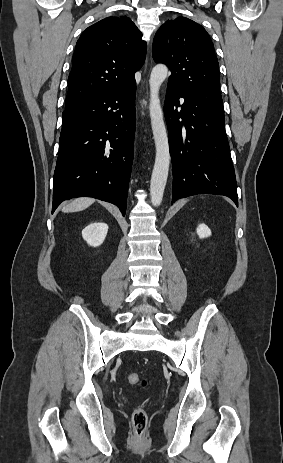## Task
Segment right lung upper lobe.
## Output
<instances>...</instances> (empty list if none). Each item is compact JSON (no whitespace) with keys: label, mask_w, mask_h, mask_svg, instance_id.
<instances>
[{"label":"right lung upper lobe","mask_w":283,"mask_h":463,"mask_svg":"<svg viewBox=\"0 0 283 463\" xmlns=\"http://www.w3.org/2000/svg\"><path fill=\"white\" fill-rule=\"evenodd\" d=\"M141 36L126 16L108 17L88 27L73 54L65 108L135 82L146 55Z\"/></svg>","instance_id":"cb5924a9"}]
</instances>
